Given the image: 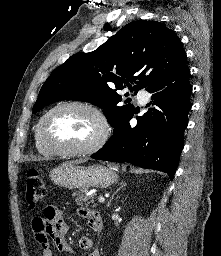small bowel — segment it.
<instances>
[{"instance_id":"obj_1","label":"small bowel","mask_w":221,"mask_h":256,"mask_svg":"<svg viewBox=\"0 0 221 256\" xmlns=\"http://www.w3.org/2000/svg\"><path fill=\"white\" fill-rule=\"evenodd\" d=\"M77 214L88 220V225L92 230L99 231L101 229V217L96 210L81 207L77 210ZM68 229L69 226L64 219L63 212L54 206H47L42 215L33 218L32 231L35 240L41 246L42 256H53L51 243L62 253L73 252L65 239ZM79 246L83 250H90L88 256H101L100 251L93 247L92 240L87 236L79 238Z\"/></svg>"}]
</instances>
